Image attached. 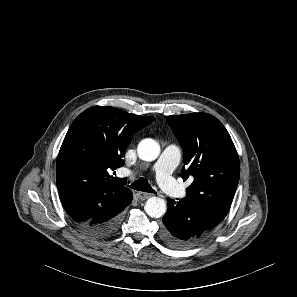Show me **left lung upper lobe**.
<instances>
[{"instance_id":"obj_1","label":"left lung upper lobe","mask_w":297,"mask_h":297,"mask_svg":"<svg viewBox=\"0 0 297 297\" xmlns=\"http://www.w3.org/2000/svg\"><path fill=\"white\" fill-rule=\"evenodd\" d=\"M168 119L184 151L181 177L193 180L183 201L195 211L193 229L204 233L215 218L229 211L239 182V157L216 117L192 113Z\"/></svg>"}]
</instances>
